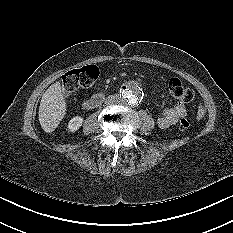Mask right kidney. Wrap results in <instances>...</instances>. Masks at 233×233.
<instances>
[{"label":"right kidney","instance_id":"right-kidney-1","mask_svg":"<svg viewBox=\"0 0 233 233\" xmlns=\"http://www.w3.org/2000/svg\"><path fill=\"white\" fill-rule=\"evenodd\" d=\"M83 123V118L81 116L73 117L68 123V129L71 132L77 131Z\"/></svg>","mask_w":233,"mask_h":233}]
</instances>
